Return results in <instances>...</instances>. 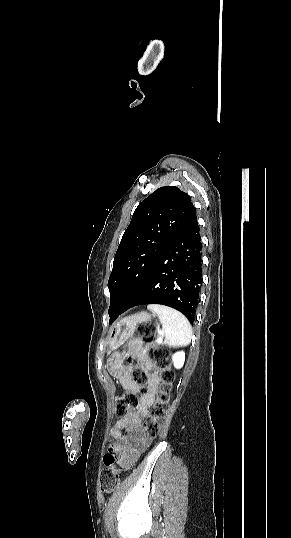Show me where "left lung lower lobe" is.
<instances>
[{"label": "left lung lower lobe", "instance_id": "obj_1", "mask_svg": "<svg viewBox=\"0 0 291 538\" xmlns=\"http://www.w3.org/2000/svg\"><path fill=\"white\" fill-rule=\"evenodd\" d=\"M201 248L195 216L160 255L134 300L115 311L109 323L134 306L162 304L182 312L193 324L202 284Z\"/></svg>", "mask_w": 291, "mask_h": 538}]
</instances>
